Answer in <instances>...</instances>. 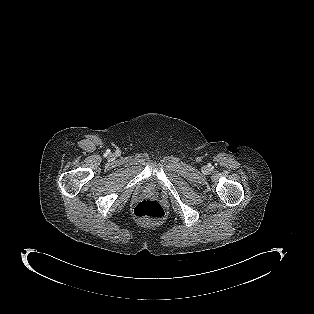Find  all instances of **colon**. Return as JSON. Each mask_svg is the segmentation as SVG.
Wrapping results in <instances>:
<instances>
[{"mask_svg":"<svg viewBox=\"0 0 314 314\" xmlns=\"http://www.w3.org/2000/svg\"><path fill=\"white\" fill-rule=\"evenodd\" d=\"M134 215L143 220L159 221L164 218L165 211L154 199H144L136 204Z\"/></svg>","mask_w":314,"mask_h":314,"instance_id":"1","label":"colon"}]
</instances>
